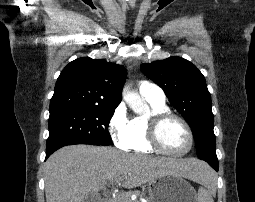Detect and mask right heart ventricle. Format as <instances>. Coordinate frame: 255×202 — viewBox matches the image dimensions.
<instances>
[{"label":"right heart ventricle","mask_w":255,"mask_h":202,"mask_svg":"<svg viewBox=\"0 0 255 202\" xmlns=\"http://www.w3.org/2000/svg\"><path fill=\"white\" fill-rule=\"evenodd\" d=\"M150 112L144 115H139L129 121V139L127 149L140 153H154L155 150L150 146L147 140V125L151 115L159 112L168 111L164 103H157L146 99Z\"/></svg>","instance_id":"1"}]
</instances>
